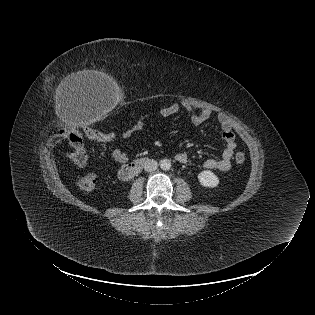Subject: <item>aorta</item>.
<instances>
[{
  "mask_svg": "<svg viewBox=\"0 0 315 315\" xmlns=\"http://www.w3.org/2000/svg\"><path fill=\"white\" fill-rule=\"evenodd\" d=\"M160 168L162 170H170V168H171V161L169 159H162L160 161Z\"/></svg>",
  "mask_w": 315,
  "mask_h": 315,
  "instance_id": "762f6f07",
  "label": "aorta"
}]
</instances>
